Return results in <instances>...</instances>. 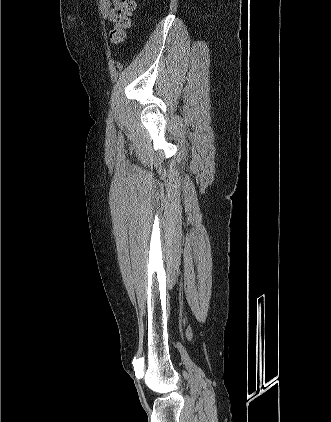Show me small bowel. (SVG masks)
<instances>
[{
	"instance_id": "1",
	"label": "small bowel",
	"mask_w": 331,
	"mask_h": 422,
	"mask_svg": "<svg viewBox=\"0 0 331 422\" xmlns=\"http://www.w3.org/2000/svg\"><path fill=\"white\" fill-rule=\"evenodd\" d=\"M102 16L107 20H114L122 7L121 0H98Z\"/></svg>"
}]
</instances>
